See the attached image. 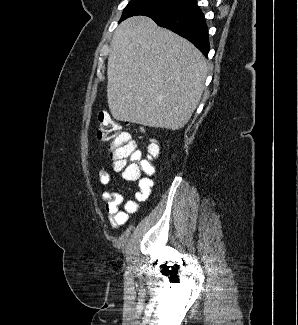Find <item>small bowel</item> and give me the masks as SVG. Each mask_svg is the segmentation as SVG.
<instances>
[{
    "instance_id": "small-bowel-1",
    "label": "small bowel",
    "mask_w": 298,
    "mask_h": 325,
    "mask_svg": "<svg viewBox=\"0 0 298 325\" xmlns=\"http://www.w3.org/2000/svg\"><path fill=\"white\" fill-rule=\"evenodd\" d=\"M154 171H149L143 177L138 179V190L134 195V200L125 201L121 194L111 191L103 193L105 202V211L108 220L113 228H118L128 223L130 215L140 209V202L146 201L154 187L152 179ZM99 181L103 186L110 183V174L106 168L99 171Z\"/></svg>"
}]
</instances>
